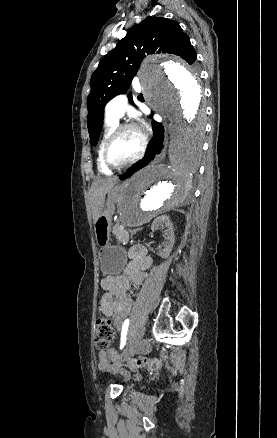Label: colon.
<instances>
[{
  "instance_id": "5ec220e1",
  "label": "colon",
  "mask_w": 277,
  "mask_h": 438,
  "mask_svg": "<svg viewBox=\"0 0 277 438\" xmlns=\"http://www.w3.org/2000/svg\"><path fill=\"white\" fill-rule=\"evenodd\" d=\"M95 345L100 350H107L112 340L115 338L116 331L114 323L108 319H98L95 322ZM109 359L111 361H116L120 359L118 354H110ZM132 367H143L146 366L151 370H156L160 367V363L156 359H148L145 357L134 358L130 361Z\"/></svg>"
}]
</instances>
